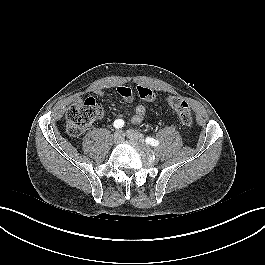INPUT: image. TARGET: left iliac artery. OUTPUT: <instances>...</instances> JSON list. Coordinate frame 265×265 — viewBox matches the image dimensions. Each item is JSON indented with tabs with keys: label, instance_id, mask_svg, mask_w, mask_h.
<instances>
[{
	"label": "left iliac artery",
	"instance_id": "44dca946",
	"mask_svg": "<svg viewBox=\"0 0 265 265\" xmlns=\"http://www.w3.org/2000/svg\"><path fill=\"white\" fill-rule=\"evenodd\" d=\"M146 143L152 146H158L159 145V141L155 140L153 138L147 137L146 138Z\"/></svg>",
	"mask_w": 265,
	"mask_h": 265
}]
</instances>
